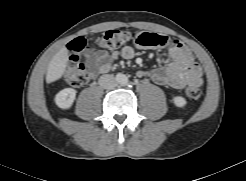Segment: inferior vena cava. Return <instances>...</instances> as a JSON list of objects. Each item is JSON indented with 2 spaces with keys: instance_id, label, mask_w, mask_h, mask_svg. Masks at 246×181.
I'll return each mask as SVG.
<instances>
[{
  "instance_id": "inferior-vena-cava-1",
  "label": "inferior vena cava",
  "mask_w": 246,
  "mask_h": 181,
  "mask_svg": "<svg viewBox=\"0 0 246 181\" xmlns=\"http://www.w3.org/2000/svg\"><path fill=\"white\" fill-rule=\"evenodd\" d=\"M99 85L105 89L113 88L117 85L116 79L111 74H105L100 76Z\"/></svg>"
}]
</instances>
